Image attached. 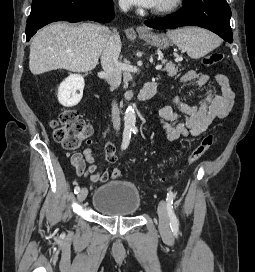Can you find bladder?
<instances>
[{
	"label": "bladder",
	"instance_id": "1",
	"mask_svg": "<svg viewBox=\"0 0 255 272\" xmlns=\"http://www.w3.org/2000/svg\"><path fill=\"white\" fill-rule=\"evenodd\" d=\"M92 206L104 216H133L141 207V194L132 182L109 181L95 190Z\"/></svg>",
	"mask_w": 255,
	"mask_h": 272
}]
</instances>
